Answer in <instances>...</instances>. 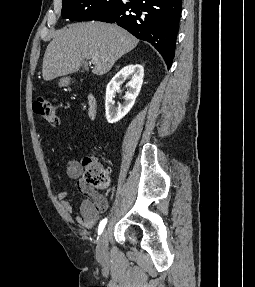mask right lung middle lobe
<instances>
[{
  "mask_svg": "<svg viewBox=\"0 0 255 287\" xmlns=\"http://www.w3.org/2000/svg\"><path fill=\"white\" fill-rule=\"evenodd\" d=\"M62 17L70 21L98 20L122 0H62Z\"/></svg>",
  "mask_w": 255,
  "mask_h": 287,
  "instance_id": "1",
  "label": "right lung middle lobe"
}]
</instances>
